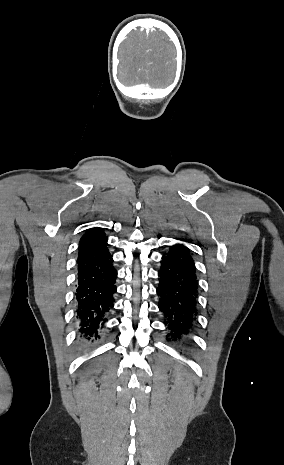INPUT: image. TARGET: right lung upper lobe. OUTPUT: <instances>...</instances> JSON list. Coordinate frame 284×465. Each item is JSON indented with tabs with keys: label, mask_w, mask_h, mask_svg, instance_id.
Instances as JSON below:
<instances>
[{
	"label": "right lung upper lobe",
	"mask_w": 284,
	"mask_h": 465,
	"mask_svg": "<svg viewBox=\"0 0 284 465\" xmlns=\"http://www.w3.org/2000/svg\"><path fill=\"white\" fill-rule=\"evenodd\" d=\"M105 233L102 228L95 227L87 230V232L82 236L79 243V255L88 250L89 248L95 246L98 242L105 239Z\"/></svg>",
	"instance_id": "cb5924a9"
}]
</instances>
